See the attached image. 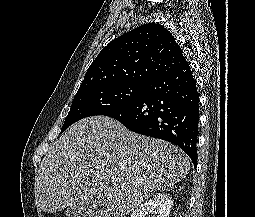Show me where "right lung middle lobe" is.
<instances>
[{
	"label": "right lung middle lobe",
	"mask_w": 255,
	"mask_h": 217,
	"mask_svg": "<svg viewBox=\"0 0 255 217\" xmlns=\"http://www.w3.org/2000/svg\"><path fill=\"white\" fill-rule=\"evenodd\" d=\"M146 87L147 85L116 84L77 92L62 126L61 133L83 118L105 115L108 112L126 107L135 101Z\"/></svg>",
	"instance_id": "dd1d6c3e"
}]
</instances>
